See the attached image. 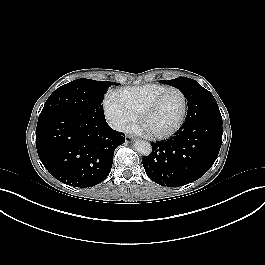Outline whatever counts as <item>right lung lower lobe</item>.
<instances>
[{"mask_svg": "<svg viewBox=\"0 0 265 265\" xmlns=\"http://www.w3.org/2000/svg\"><path fill=\"white\" fill-rule=\"evenodd\" d=\"M125 135L94 114L47 111L39 115L36 148L45 168L73 187L96 185L109 175L114 150Z\"/></svg>", "mask_w": 265, "mask_h": 265, "instance_id": "right-lung-lower-lobe-1", "label": "right lung lower lobe"}]
</instances>
